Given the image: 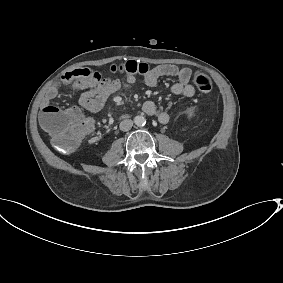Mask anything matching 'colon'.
Masks as SVG:
<instances>
[{
  "mask_svg": "<svg viewBox=\"0 0 283 283\" xmlns=\"http://www.w3.org/2000/svg\"><path fill=\"white\" fill-rule=\"evenodd\" d=\"M110 71L135 76L145 75L149 70L144 63L128 61L125 64L111 66ZM193 81L203 93H208L212 89L210 78L204 74H196ZM39 120L56 148L62 152L73 151L92 130L91 121L78 109L60 110L49 107L42 111Z\"/></svg>",
  "mask_w": 283,
  "mask_h": 283,
  "instance_id": "colon-1",
  "label": "colon"
}]
</instances>
